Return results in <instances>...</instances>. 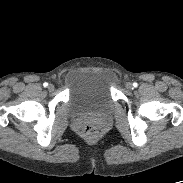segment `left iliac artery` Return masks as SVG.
Wrapping results in <instances>:
<instances>
[{
    "label": "left iliac artery",
    "mask_w": 183,
    "mask_h": 183,
    "mask_svg": "<svg viewBox=\"0 0 183 183\" xmlns=\"http://www.w3.org/2000/svg\"><path fill=\"white\" fill-rule=\"evenodd\" d=\"M133 86H134V87H137V86H138V84H137L136 82H134V83H133Z\"/></svg>",
    "instance_id": "1"
}]
</instances>
